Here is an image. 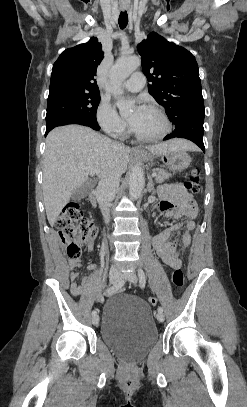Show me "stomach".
<instances>
[{"label":"stomach","instance_id":"stomach-1","mask_svg":"<svg viewBox=\"0 0 247 407\" xmlns=\"http://www.w3.org/2000/svg\"><path fill=\"white\" fill-rule=\"evenodd\" d=\"M139 155L146 161H153L154 158H157L171 171H183L191 163L190 155L183 150L168 151L158 155L142 151Z\"/></svg>","mask_w":247,"mask_h":407}]
</instances>
